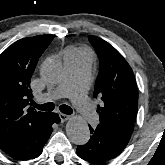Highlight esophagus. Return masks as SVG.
<instances>
[{
  "label": "esophagus",
  "mask_w": 165,
  "mask_h": 165,
  "mask_svg": "<svg viewBox=\"0 0 165 165\" xmlns=\"http://www.w3.org/2000/svg\"><path fill=\"white\" fill-rule=\"evenodd\" d=\"M59 117L61 119V122H65L69 119V115H66V114H63V113H60Z\"/></svg>",
  "instance_id": "esophagus-1"
}]
</instances>
